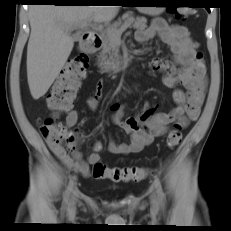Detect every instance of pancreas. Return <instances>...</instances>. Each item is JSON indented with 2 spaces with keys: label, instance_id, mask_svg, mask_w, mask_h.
Instances as JSON below:
<instances>
[{
  "label": "pancreas",
  "instance_id": "pancreas-1",
  "mask_svg": "<svg viewBox=\"0 0 231 231\" xmlns=\"http://www.w3.org/2000/svg\"><path fill=\"white\" fill-rule=\"evenodd\" d=\"M131 22L132 26L138 30H144L147 25V19L145 17H133L132 12L125 13L121 19L109 25L102 32L103 48L98 58L99 67L103 70L113 69L117 65L115 54L113 53L115 40L111 36V31H116L121 28L126 22Z\"/></svg>",
  "mask_w": 231,
  "mask_h": 231
}]
</instances>
